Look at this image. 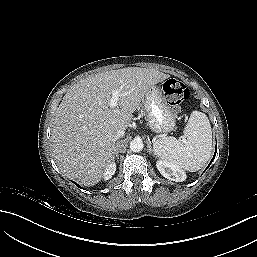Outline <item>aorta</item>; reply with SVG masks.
I'll return each instance as SVG.
<instances>
[{
	"label": "aorta",
	"mask_w": 257,
	"mask_h": 257,
	"mask_svg": "<svg viewBox=\"0 0 257 257\" xmlns=\"http://www.w3.org/2000/svg\"><path fill=\"white\" fill-rule=\"evenodd\" d=\"M144 147L143 141L140 138H135L130 142V150L140 152Z\"/></svg>",
	"instance_id": "1"
}]
</instances>
